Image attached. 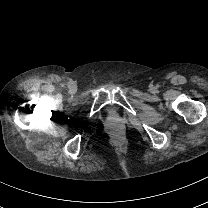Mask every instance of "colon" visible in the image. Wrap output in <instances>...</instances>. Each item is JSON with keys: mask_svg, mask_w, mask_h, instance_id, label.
I'll return each instance as SVG.
<instances>
[{"mask_svg": "<svg viewBox=\"0 0 208 208\" xmlns=\"http://www.w3.org/2000/svg\"><path fill=\"white\" fill-rule=\"evenodd\" d=\"M115 137H118V134H115Z\"/></svg>", "mask_w": 208, "mask_h": 208, "instance_id": "1", "label": "colon"}]
</instances>
